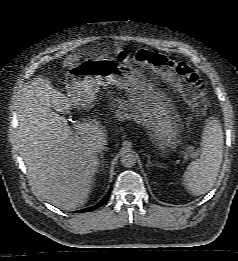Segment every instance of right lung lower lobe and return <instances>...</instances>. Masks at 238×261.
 Wrapping results in <instances>:
<instances>
[{"instance_id":"98d812e1","label":"right lung lower lobe","mask_w":238,"mask_h":261,"mask_svg":"<svg viewBox=\"0 0 238 261\" xmlns=\"http://www.w3.org/2000/svg\"><path fill=\"white\" fill-rule=\"evenodd\" d=\"M108 197V196H107ZM107 200V198L105 197L104 199H103V202H102V204L105 202Z\"/></svg>"}]
</instances>
